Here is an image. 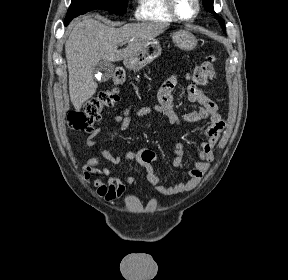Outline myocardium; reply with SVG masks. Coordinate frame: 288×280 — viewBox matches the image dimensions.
<instances>
[{"label":"myocardium","instance_id":"1","mask_svg":"<svg viewBox=\"0 0 288 280\" xmlns=\"http://www.w3.org/2000/svg\"><path fill=\"white\" fill-rule=\"evenodd\" d=\"M194 2H195V6H196L194 14L189 18H184L177 11L176 1L175 0H166L167 7H168L170 14L176 20L182 21V22H190V21H193L194 19H196L198 17L200 10H201V2H200V0H194Z\"/></svg>","mask_w":288,"mask_h":280}]
</instances>
